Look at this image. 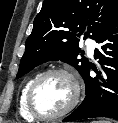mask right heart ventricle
Instances as JSON below:
<instances>
[{
  "mask_svg": "<svg viewBox=\"0 0 118 123\" xmlns=\"http://www.w3.org/2000/svg\"><path fill=\"white\" fill-rule=\"evenodd\" d=\"M38 75L32 76L29 78L23 85L20 95H19V100H18V110L22 118L28 120V121H34L36 118L31 115V113L28 111L27 108V93L29 90L30 85L32 82L37 78Z\"/></svg>",
  "mask_w": 118,
  "mask_h": 123,
  "instance_id": "right-heart-ventricle-1",
  "label": "right heart ventricle"
}]
</instances>
